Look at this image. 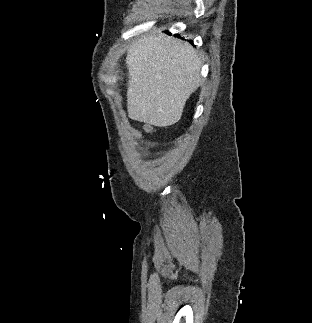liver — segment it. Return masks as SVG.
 Instances as JSON below:
<instances>
[{
  "instance_id": "6515ba94",
  "label": "liver",
  "mask_w": 312,
  "mask_h": 323,
  "mask_svg": "<svg viewBox=\"0 0 312 323\" xmlns=\"http://www.w3.org/2000/svg\"><path fill=\"white\" fill-rule=\"evenodd\" d=\"M128 118L166 128L179 122L201 84L202 60L188 42L152 30L127 50Z\"/></svg>"
}]
</instances>
